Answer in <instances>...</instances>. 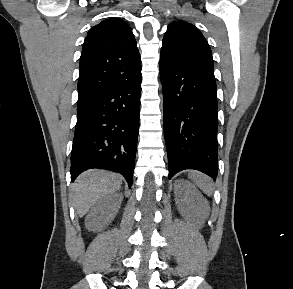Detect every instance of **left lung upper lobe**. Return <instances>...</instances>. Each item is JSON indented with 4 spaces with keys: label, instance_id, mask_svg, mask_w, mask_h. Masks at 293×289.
<instances>
[{
    "label": "left lung upper lobe",
    "instance_id": "1",
    "mask_svg": "<svg viewBox=\"0 0 293 289\" xmlns=\"http://www.w3.org/2000/svg\"><path fill=\"white\" fill-rule=\"evenodd\" d=\"M160 61L197 72L214 73L207 40L198 28L185 21L169 24L162 42Z\"/></svg>",
    "mask_w": 293,
    "mask_h": 289
}]
</instances>
